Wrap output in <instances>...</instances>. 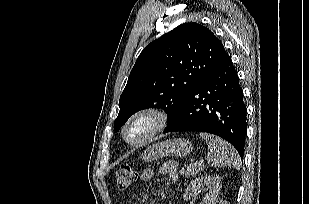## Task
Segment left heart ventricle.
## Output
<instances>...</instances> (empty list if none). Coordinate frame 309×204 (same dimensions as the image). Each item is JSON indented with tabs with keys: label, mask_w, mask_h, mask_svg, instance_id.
<instances>
[{
	"label": "left heart ventricle",
	"mask_w": 309,
	"mask_h": 204,
	"mask_svg": "<svg viewBox=\"0 0 309 204\" xmlns=\"http://www.w3.org/2000/svg\"><path fill=\"white\" fill-rule=\"evenodd\" d=\"M153 120L145 117L140 118L133 123L127 129V136L131 141H136L143 138L153 128Z\"/></svg>",
	"instance_id": "obj_1"
}]
</instances>
